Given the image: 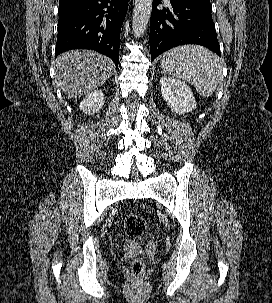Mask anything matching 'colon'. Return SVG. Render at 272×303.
Returning <instances> with one entry per match:
<instances>
[{
  "label": "colon",
  "instance_id": "colon-1",
  "mask_svg": "<svg viewBox=\"0 0 272 303\" xmlns=\"http://www.w3.org/2000/svg\"><path fill=\"white\" fill-rule=\"evenodd\" d=\"M123 229L127 236L140 238L147 229L146 220L139 214L128 213L123 219ZM131 275L135 279H140L144 272V263L140 259H135L131 264Z\"/></svg>",
  "mask_w": 272,
  "mask_h": 303
}]
</instances>
